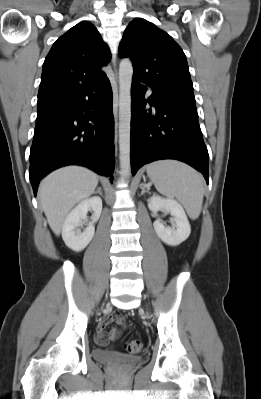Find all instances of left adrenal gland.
Here are the masks:
<instances>
[{"instance_id": "a2214340", "label": "left adrenal gland", "mask_w": 261, "mask_h": 399, "mask_svg": "<svg viewBox=\"0 0 261 399\" xmlns=\"http://www.w3.org/2000/svg\"><path fill=\"white\" fill-rule=\"evenodd\" d=\"M140 188L142 189L141 194H143V193H145V192L149 193V190H150V186H149V185H147V184H141V185H140Z\"/></svg>"}]
</instances>
